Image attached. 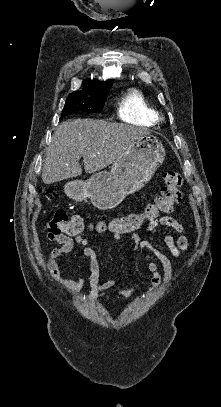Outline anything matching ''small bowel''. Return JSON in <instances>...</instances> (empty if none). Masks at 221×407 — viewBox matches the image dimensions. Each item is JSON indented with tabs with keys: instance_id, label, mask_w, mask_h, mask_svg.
Returning <instances> with one entry per match:
<instances>
[{
	"instance_id": "small-bowel-1",
	"label": "small bowel",
	"mask_w": 221,
	"mask_h": 407,
	"mask_svg": "<svg viewBox=\"0 0 221 407\" xmlns=\"http://www.w3.org/2000/svg\"><path fill=\"white\" fill-rule=\"evenodd\" d=\"M162 227H168L174 232L178 233V239H174L169 232L161 231ZM156 229L161 232L163 244L171 256L176 259H180L182 253L189 248V240L185 234L184 225L173 217L165 216L161 219L149 221L147 231L153 232ZM119 237V235L113 234L114 239H119ZM130 238L135 243V251L142 254V258L147 263L148 270L151 273V278L145 292V295H149L162 282H167L170 280L172 276L171 260L168 255L157 250L150 241L140 238L138 234L133 233L130 235ZM50 239L57 244V247L50 251L45 262V266L50 272L54 282L62 289L67 291L72 297L78 296L86 281L90 285L89 297L92 301L104 296L111 297L113 295L121 298H128L136 291L137 288L134 287L130 289L118 290L114 294L107 292L116 287L117 281L115 279H111L105 282H100V265L94 249L90 246V241L88 238L81 235L75 237L61 235ZM76 246H81L82 256L89 259L88 274L87 276H82L77 279L63 277L60 273L57 259L71 254L75 250ZM153 257H156L157 261H155Z\"/></svg>"
}]
</instances>
